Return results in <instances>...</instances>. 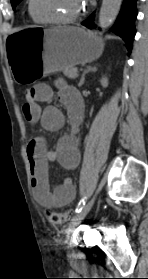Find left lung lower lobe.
Instances as JSON below:
<instances>
[{"instance_id": "left-lung-lower-lobe-1", "label": "left lung lower lobe", "mask_w": 148, "mask_h": 279, "mask_svg": "<svg viewBox=\"0 0 148 279\" xmlns=\"http://www.w3.org/2000/svg\"><path fill=\"white\" fill-rule=\"evenodd\" d=\"M137 0H123L121 11L117 17V20L111 30L122 37L127 43L128 51L131 52L132 41L135 36V18L137 16L136 8ZM95 14L92 13L87 20L82 22V25L93 28Z\"/></svg>"}]
</instances>
